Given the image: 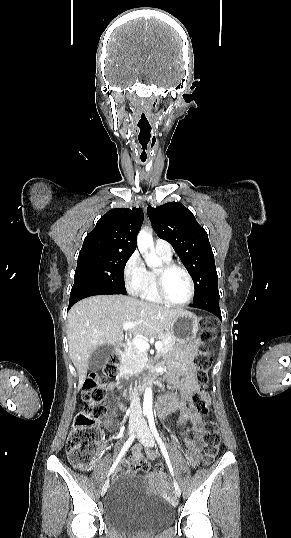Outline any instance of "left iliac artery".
I'll return each mask as SVG.
<instances>
[{"mask_svg": "<svg viewBox=\"0 0 291 538\" xmlns=\"http://www.w3.org/2000/svg\"><path fill=\"white\" fill-rule=\"evenodd\" d=\"M147 416H148V422H149L151 432H152V434L154 435L155 439L157 440V442L159 444L160 450H161V452H162V454H163V456H164V458L166 460V463L168 465V468H169L171 474L174 476V471H173V467H172L168 452H167L166 447H165L161 437L159 436V433H158L157 428L155 426L153 413L150 412V413H148Z\"/></svg>", "mask_w": 291, "mask_h": 538, "instance_id": "left-iliac-artery-1", "label": "left iliac artery"}]
</instances>
